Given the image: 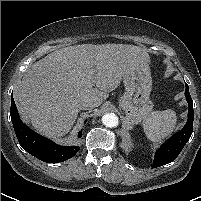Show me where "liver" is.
<instances>
[{"label":"liver","instance_id":"1","mask_svg":"<svg viewBox=\"0 0 201 201\" xmlns=\"http://www.w3.org/2000/svg\"><path fill=\"white\" fill-rule=\"evenodd\" d=\"M147 51L126 44H82L56 50L29 67L17 86L20 113L46 137L58 139L77 118L78 104L100 106Z\"/></svg>","mask_w":201,"mask_h":201}]
</instances>
